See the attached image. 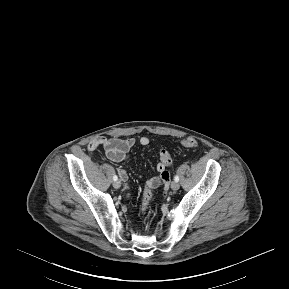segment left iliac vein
Segmentation results:
<instances>
[{
  "label": "left iliac vein",
  "mask_w": 289,
  "mask_h": 289,
  "mask_svg": "<svg viewBox=\"0 0 289 289\" xmlns=\"http://www.w3.org/2000/svg\"><path fill=\"white\" fill-rule=\"evenodd\" d=\"M179 188H180V184H179L177 181H173V182L171 183V189H172V190L176 191V190H178Z\"/></svg>",
  "instance_id": "left-iliac-vein-1"
}]
</instances>
